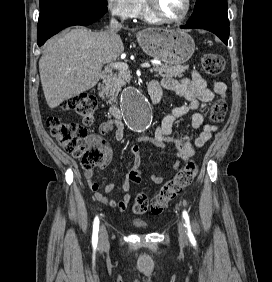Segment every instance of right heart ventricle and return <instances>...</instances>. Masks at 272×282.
Wrapping results in <instances>:
<instances>
[{
	"mask_svg": "<svg viewBox=\"0 0 272 282\" xmlns=\"http://www.w3.org/2000/svg\"><path fill=\"white\" fill-rule=\"evenodd\" d=\"M140 15L147 22H155L156 21V19L153 16H151L150 14L147 13L146 9H143Z\"/></svg>",
	"mask_w": 272,
	"mask_h": 282,
	"instance_id": "1",
	"label": "right heart ventricle"
}]
</instances>
